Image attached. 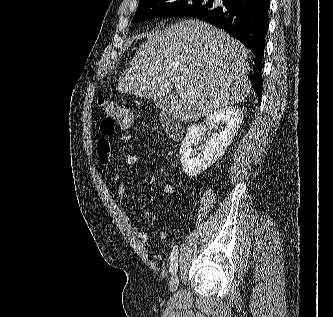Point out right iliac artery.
I'll list each match as a JSON object with an SVG mask.
<instances>
[{
    "label": "right iliac artery",
    "mask_w": 333,
    "mask_h": 317,
    "mask_svg": "<svg viewBox=\"0 0 333 317\" xmlns=\"http://www.w3.org/2000/svg\"><path fill=\"white\" fill-rule=\"evenodd\" d=\"M177 258H178V247L175 246L171 252V257H170V271L172 274H175L177 271V266H178Z\"/></svg>",
    "instance_id": "right-iliac-artery-1"
}]
</instances>
